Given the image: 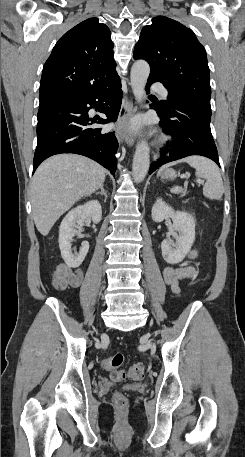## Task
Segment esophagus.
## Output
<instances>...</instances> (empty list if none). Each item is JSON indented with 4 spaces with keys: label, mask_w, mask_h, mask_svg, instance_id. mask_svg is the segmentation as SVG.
I'll return each mask as SVG.
<instances>
[{
    "label": "esophagus",
    "mask_w": 245,
    "mask_h": 457,
    "mask_svg": "<svg viewBox=\"0 0 245 457\" xmlns=\"http://www.w3.org/2000/svg\"><path fill=\"white\" fill-rule=\"evenodd\" d=\"M136 107L130 100L123 99L116 125V137L120 142L124 141L127 145L133 146L135 135L130 124L132 114Z\"/></svg>",
    "instance_id": "34e87169"
}]
</instances>
